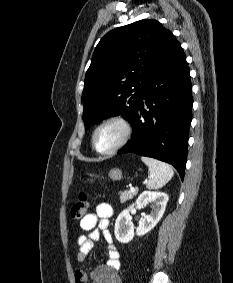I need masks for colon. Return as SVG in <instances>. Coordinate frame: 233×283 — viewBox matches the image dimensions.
<instances>
[{"label": "colon", "instance_id": "obj_1", "mask_svg": "<svg viewBox=\"0 0 233 283\" xmlns=\"http://www.w3.org/2000/svg\"><path fill=\"white\" fill-rule=\"evenodd\" d=\"M89 208L88 196L85 192L81 191L78 195V200L71 208V217L75 221H82L87 215Z\"/></svg>", "mask_w": 233, "mask_h": 283}]
</instances>
